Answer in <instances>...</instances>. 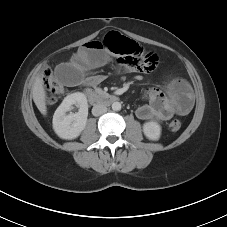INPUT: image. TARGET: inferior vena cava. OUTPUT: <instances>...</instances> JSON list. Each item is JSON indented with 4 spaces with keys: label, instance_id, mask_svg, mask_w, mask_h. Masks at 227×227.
<instances>
[{
    "label": "inferior vena cava",
    "instance_id": "602c4592",
    "mask_svg": "<svg viewBox=\"0 0 227 227\" xmlns=\"http://www.w3.org/2000/svg\"><path fill=\"white\" fill-rule=\"evenodd\" d=\"M105 112H107V107L102 104L94 105L92 108V114L94 116H100V115L104 114Z\"/></svg>",
    "mask_w": 227,
    "mask_h": 227
}]
</instances>
